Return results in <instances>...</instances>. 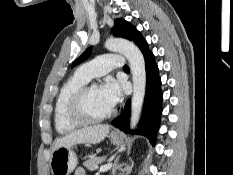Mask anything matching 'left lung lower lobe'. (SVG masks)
<instances>
[{"instance_id":"0a47b994","label":"left lung lower lobe","mask_w":233,"mask_h":175,"mask_svg":"<svg viewBox=\"0 0 233 175\" xmlns=\"http://www.w3.org/2000/svg\"><path fill=\"white\" fill-rule=\"evenodd\" d=\"M145 59L146 68V93L142 118L139 127L135 131L129 129L130 100L125 104L124 111L112 121V125L125 133H137L146 136L155 145L157 131L159 129L160 116L162 113L161 79L154 55L148 44L141 49Z\"/></svg>"}]
</instances>
